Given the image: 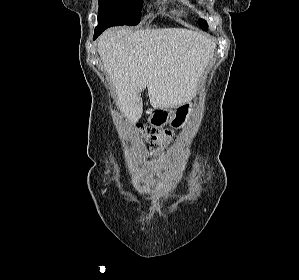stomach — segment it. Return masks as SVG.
<instances>
[{"instance_id": "stomach-1", "label": "stomach", "mask_w": 299, "mask_h": 280, "mask_svg": "<svg viewBox=\"0 0 299 280\" xmlns=\"http://www.w3.org/2000/svg\"><path fill=\"white\" fill-rule=\"evenodd\" d=\"M191 112L192 109L188 103L179 105L174 109L154 108L149 112L148 121L155 128H162L167 124L180 128L187 123Z\"/></svg>"}]
</instances>
